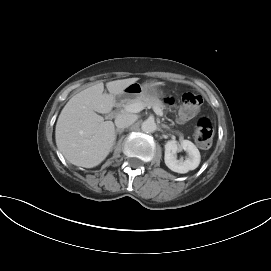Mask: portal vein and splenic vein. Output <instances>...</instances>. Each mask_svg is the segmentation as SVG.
Segmentation results:
<instances>
[{"instance_id": "1", "label": "portal vein and splenic vein", "mask_w": 271, "mask_h": 271, "mask_svg": "<svg viewBox=\"0 0 271 271\" xmlns=\"http://www.w3.org/2000/svg\"><path fill=\"white\" fill-rule=\"evenodd\" d=\"M144 108L145 106L142 103H132V104L126 105L124 107V110L129 113H138L142 111ZM153 110L157 115H162L161 109L154 107Z\"/></svg>"}]
</instances>
